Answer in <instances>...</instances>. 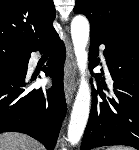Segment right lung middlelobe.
<instances>
[{"label": "right lung middle lobe", "instance_id": "dd1d6c3e", "mask_svg": "<svg viewBox=\"0 0 139 150\" xmlns=\"http://www.w3.org/2000/svg\"><path fill=\"white\" fill-rule=\"evenodd\" d=\"M24 54L25 51L11 46L0 45V60L21 59Z\"/></svg>", "mask_w": 139, "mask_h": 150}]
</instances>
